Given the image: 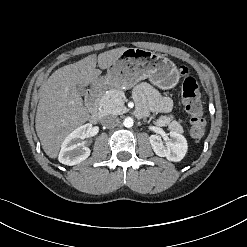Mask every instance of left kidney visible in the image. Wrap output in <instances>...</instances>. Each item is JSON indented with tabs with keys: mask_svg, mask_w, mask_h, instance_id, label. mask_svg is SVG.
Instances as JSON below:
<instances>
[{
	"mask_svg": "<svg viewBox=\"0 0 247 247\" xmlns=\"http://www.w3.org/2000/svg\"><path fill=\"white\" fill-rule=\"evenodd\" d=\"M169 136L170 138H167L166 143L163 144L159 135H151L149 141L152 149L155 154L169 161H181L187 152V141L183 135L176 132H170Z\"/></svg>",
	"mask_w": 247,
	"mask_h": 247,
	"instance_id": "left-kidney-1",
	"label": "left kidney"
}]
</instances>
